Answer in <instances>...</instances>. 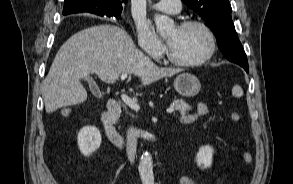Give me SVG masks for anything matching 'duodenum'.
I'll return each instance as SVG.
<instances>
[{"label": "duodenum", "mask_w": 293, "mask_h": 184, "mask_svg": "<svg viewBox=\"0 0 293 184\" xmlns=\"http://www.w3.org/2000/svg\"><path fill=\"white\" fill-rule=\"evenodd\" d=\"M121 113V102L116 98H111L107 103V111L104 112L100 121L108 139L118 148H125L126 141L115 127V122Z\"/></svg>", "instance_id": "410a0bca"}]
</instances>
